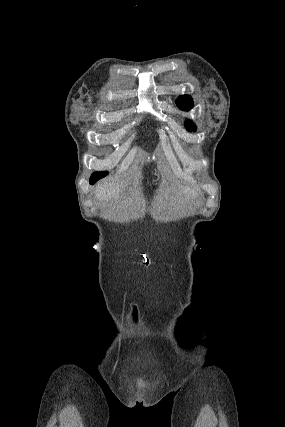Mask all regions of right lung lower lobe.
I'll return each instance as SVG.
<instances>
[{"mask_svg":"<svg viewBox=\"0 0 285 427\" xmlns=\"http://www.w3.org/2000/svg\"><path fill=\"white\" fill-rule=\"evenodd\" d=\"M96 181H98V180H97V179H94V178H92V177L90 178V183H91V184H94Z\"/></svg>","mask_w":285,"mask_h":427,"instance_id":"obj_1","label":"right lung lower lobe"}]
</instances>
